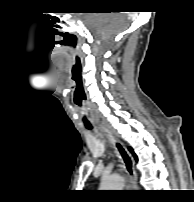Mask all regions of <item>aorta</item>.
<instances>
[{
	"mask_svg": "<svg viewBox=\"0 0 194 202\" xmlns=\"http://www.w3.org/2000/svg\"><path fill=\"white\" fill-rule=\"evenodd\" d=\"M101 190H122L124 179L118 175L104 176L101 179Z\"/></svg>",
	"mask_w": 194,
	"mask_h": 202,
	"instance_id": "1",
	"label": "aorta"
}]
</instances>
